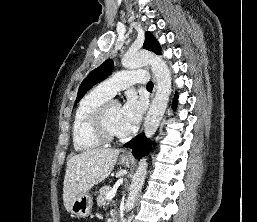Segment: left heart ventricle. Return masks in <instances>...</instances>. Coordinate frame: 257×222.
<instances>
[{
    "instance_id": "obj_1",
    "label": "left heart ventricle",
    "mask_w": 257,
    "mask_h": 222,
    "mask_svg": "<svg viewBox=\"0 0 257 222\" xmlns=\"http://www.w3.org/2000/svg\"><path fill=\"white\" fill-rule=\"evenodd\" d=\"M121 117V106L116 105L111 108L107 117V126L110 132L122 135L119 129V121Z\"/></svg>"
}]
</instances>
